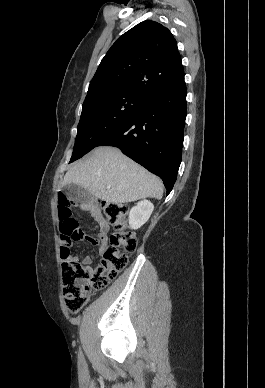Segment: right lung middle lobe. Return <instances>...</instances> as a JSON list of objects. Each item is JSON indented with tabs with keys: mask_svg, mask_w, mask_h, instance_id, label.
<instances>
[{
	"mask_svg": "<svg viewBox=\"0 0 265 388\" xmlns=\"http://www.w3.org/2000/svg\"><path fill=\"white\" fill-rule=\"evenodd\" d=\"M144 96L123 92L102 90L86 96L77 128L73 162L94 147L128 119L139 107Z\"/></svg>",
	"mask_w": 265,
	"mask_h": 388,
	"instance_id": "obj_1",
	"label": "right lung middle lobe"
}]
</instances>
